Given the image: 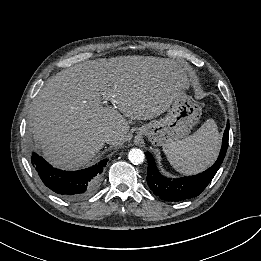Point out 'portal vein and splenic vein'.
I'll return each mask as SVG.
<instances>
[{
	"mask_svg": "<svg viewBox=\"0 0 261 261\" xmlns=\"http://www.w3.org/2000/svg\"><path fill=\"white\" fill-rule=\"evenodd\" d=\"M108 101H111L113 103H117L115 100V95L111 92H104L103 93V103H107Z\"/></svg>",
	"mask_w": 261,
	"mask_h": 261,
	"instance_id": "18ae733b",
	"label": "portal vein and splenic vein"
}]
</instances>
